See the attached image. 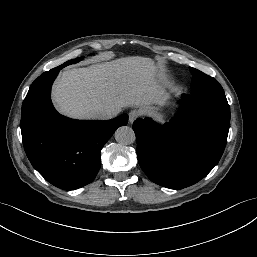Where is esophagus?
<instances>
[{
    "label": "esophagus",
    "mask_w": 257,
    "mask_h": 257,
    "mask_svg": "<svg viewBox=\"0 0 257 257\" xmlns=\"http://www.w3.org/2000/svg\"><path fill=\"white\" fill-rule=\"evenodd\" d=\"M139 116L138 110H131L129 113V122L132 124Z\"/></svg>",
    "instance_id": "esophagus-1"
}]
</instances>
